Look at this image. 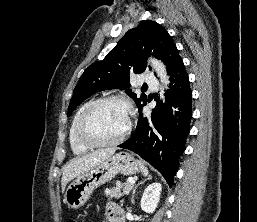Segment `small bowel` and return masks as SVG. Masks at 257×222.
Segmentation results:
<instances>
[{
	"label": "small bowel",
	"mask_w": 257,
	"mask_h": 222,
	"mask_svg": "<svg viewBox=\"0 0 257 222\" xmlns=\"http://www.w3.org/2000/svg\"><path fill=\"white\" fill-rule=\"evenodd\" d=\"M108 222H124L122 210L114 203H109L105 211Z\"/></svg>",
	"instance_id": "1"
}]
</instances>
